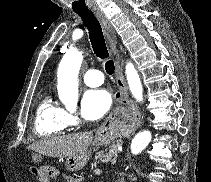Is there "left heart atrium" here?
I'll list each match as a JSON object with an SVG mask.
<instances>
[{
    "label": "left heart atrium",
    "mask_w": 211,
    "mask_h": 182,
    "mask_svg": "<svg viewBox=\"0 0 211 182\" xmlns=\"http://www.w3.org/2000/svg\"><path fill=\"white\" fill-rule=\"evenodd\" d=\"M112 97L105 89H94L85 92L82 102V116L89 121L101 119L111 108Z\"/></svg>",
    "instance_id": "obj_1"
}]
</instances>
